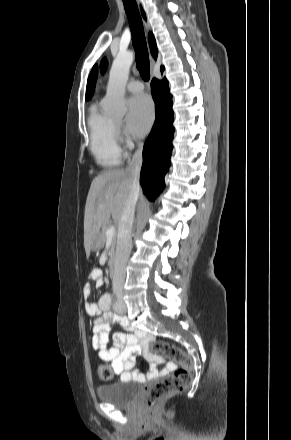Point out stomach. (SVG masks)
I'll return each instance as SVG.
<instances>
[{
  "instance_id": "obj_1",
  "label": "stomach",
  "mask_w": 291,
  "mask_h": 440,
  "mask_svg": "<svg viewBox=\"0 0 291 440\" xmlns=\"http://www.w3.org/2000/svg\"><path fill=\"white\" fill-rule=\"evenodd\" d=\"M99 245H100V242H99V240H97L93 246V249H97L99 247Z\"/></svg>"
}]
</instances>
